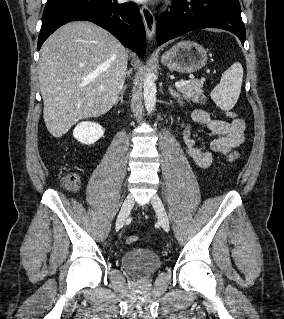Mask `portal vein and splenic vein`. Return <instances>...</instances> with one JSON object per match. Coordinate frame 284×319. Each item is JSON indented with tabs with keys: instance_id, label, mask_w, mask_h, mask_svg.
Segmentation results:
<instances>
[{
	"instance_id": "18ae733b",
	"label": "portal vein and splenic vein",
	"mask_w": 284,
	"mask_h": 319,
	"mask_svg": "<svg viewBox=\"0 0 284 319\" xmlns=\"http://www.w3.org/2000/svg\"><path fill=\"white\" fill-rule=\"evenodd\" d=\"M186 83H187V81H178V82H175V87H176V88H180V87L184 86Z\"/></svg>"
}]
</instances>
